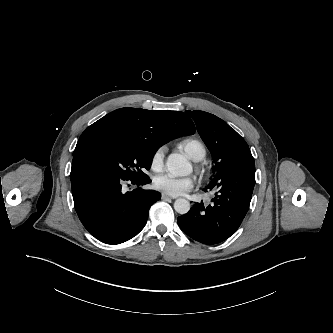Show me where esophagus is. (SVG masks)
I'll return each instance as SVG.
<instances>
[{
	"label": "esophagus",
	"instance_id": "1",
	"mask_svg": "<svg viewBox=\"0 0 333 333\" xmlns=\"http://www.w3.org/2000/svg\"><path fill=\"white\" fill-rule=\"evenodd\" d=\"M161 198L164 199V200L174 199V198H172L171 196H169V195H167V194H164V193L161 194Z\"/></svg>",
	"mask_w": 333,
	"mask_h": 333
}]
</instances>
